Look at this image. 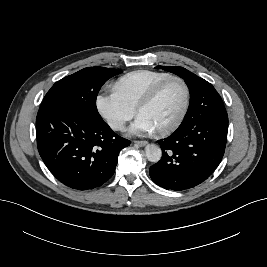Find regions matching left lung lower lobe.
I'll use <instances>...</instances> for the list:
<instances>
[{"label": "left lung lower lobe", "instance_id": "0a47b994", "mask_svg": "<svg viewBox=\"0 0 267 267\" xmlns=\"http://www.w3.org/2000/svg\"><path fill=\"white\" fill-rule=\"evenodd\" d=\"M189 123L159 140L161 160L150 167L152 180L165 189L182 191L205 181L224 155L228 116L209 106L197 108Z\"/></svg>", "mask_w": 267, "mask_h": 267}]
</instances>
